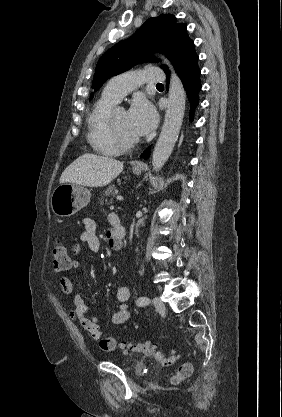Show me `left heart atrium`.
I'll use <instances>...</instances> for the list:
<instances>
[{
	"mask_svg": "<svg viewBox=\"0 0 282 417\" xmlns=\"http://www.w3.org/2000/svg\"><path fill=\"white\" fill-rule=\"evenodd\" d=\"M131 131L139 136L149 133L156 125L157 114L153 106L145 101H136L127 114Z\"/></svg>",
	"mask_w": 282,
	"mask_h": 417,
	"instance_id": "obj_1",
	"label": "left heart atrium"
}]
</instances>
